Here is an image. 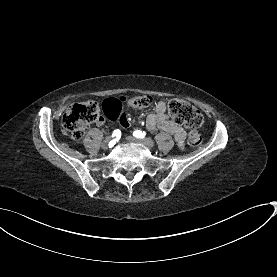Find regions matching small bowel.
Wrapping results in <instances>:
<instances>
[{
    "instance_id": "1",
    "label": "small bowel",
    "mask_w": 277,
    "mask_h": 277,
    "mask_svg": "<svg viewBox=\"0 0 277 277\" xmlns=\"http://www.w3.org/2000/svg\"><path fill=\"white\" fill-rule=\"evenodd\" d=\"M128 126V119H126ZM103 121H98L97 125L101 126ZM146 127L148 130L159 128L167 133L172 134L179 146H183L186 132L185 130L170 119L167 113V105L164 101H158L153 109V112L147 116Z\"/></svg>"
}]
</instances>
